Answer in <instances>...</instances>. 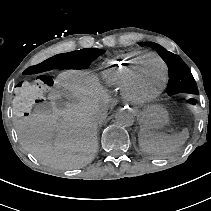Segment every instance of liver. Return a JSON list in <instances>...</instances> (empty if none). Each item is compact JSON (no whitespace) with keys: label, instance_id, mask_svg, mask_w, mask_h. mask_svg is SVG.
Returning a JSON list of instances; mask_svg holds the SVG:
<instances>
[{"label":"liver","instance_id":"1","mask_svg":"<svg viewBox=\"0 0 211 211\" xmlns=\"http://www.w3.org/2000/svg\"><path fill=\"white\" fill-rule=\"evenodd\" d=\"M72 93L75 103L64 108L53 104L52 113H32L15 122L23 147L44 164L75 169L91 162L98 149V121L109 101L108 94L86 71L70 70L57 78Z\"/></svg>","mask_w":211,"mask_h":211}]
</instances>
